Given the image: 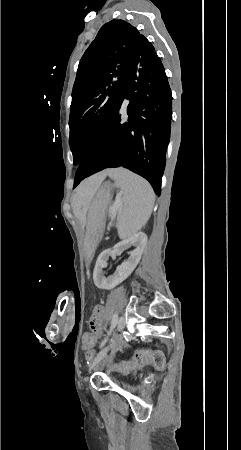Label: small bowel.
Masks as SVG:
<instances>
[{"mask_svg":"<svg viewBox=\"0 0 241 450\" xmlns=\"http://www.w3.org/2000/svg\"><path fill=\"white\" fill-rule=\"evenodd\" d=\"M102 316H103V311L101 309V306L99 304H96L92 311V316H89V318H88V323L92 330H102L103 329L104 325H103ZM96 342H97V335H96ZM88 352H90V351H88Z\"/></svg>","mask_w":241,"mask_h":450,"instance_id":"obj_1","label":"small bowel"}]
</instances>
